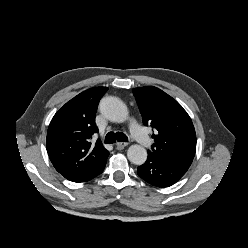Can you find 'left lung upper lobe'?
Masks as SVG:
<instances>
[{
  "label": "left lung upper lobe",
  "mask_w": 248,
  "mask_h": 248,
  "mask_svg": "<svg viewBox=\"0 0 248 248\" xmlns=\"http://www.w3.org/2000/svg\"><path fill=\"white\" fill-rule=\"evenodd\" d=\"M143 123L155 128V143L148 154L189 168L196 151V133L191 118L171 96L154 86L133 89Z\"/></svg>",
  "instance_id": "5c2ea615"
}]
</instances>
